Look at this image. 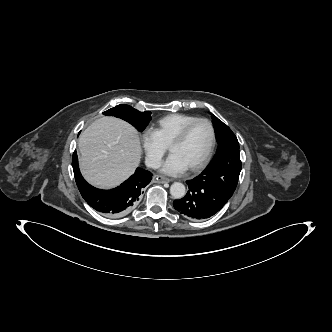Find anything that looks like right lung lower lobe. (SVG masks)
<instances>
[{
	"label": "right lung lower lobe",
	"instance_id": "obj_1",
	"mask_svg": "<svg viewBox=\"0 0 332 332\" xmlns=\"http://www.w3.org/2000/svg\"><path fill=\"white\" fill-rule=\"evenodd\" d=\"M72 167L82 197L92 208L110 218L123 216L135 209L141 200L143 188L150 183L152 177L151 172L137 168L135 173L117 188L101 190L88 184L82 177L76 152L72 157Z\"/></svg>",
	"mask_w": 332,
	"mask_h": 332
}]
</instances>
